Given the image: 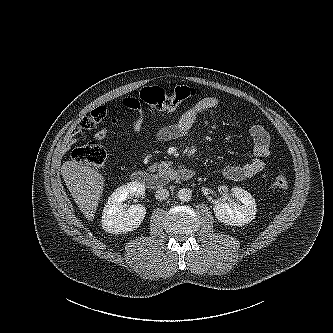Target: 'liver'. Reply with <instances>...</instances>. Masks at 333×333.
<instances>
[{
  "label": "liver",
  "mask_w": 333,
  "mask_h": 333,
  "mask_svg": "<svg viewBox=\"0 0 333 333\" xmlns=\"http://www.w3.org/2000/svg\"><path fill=\"white\" fill-rule=\"evenodd\" d=\"M61 174L79 209L92 221L104 190V177L93 167L76 160L63 163Z\"/></svg>",
  "instance_id": "liver-1"
}]
</instances>
